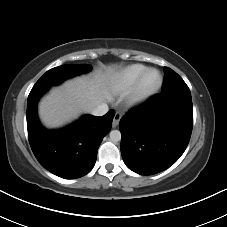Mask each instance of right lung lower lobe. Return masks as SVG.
<instances>
[{"instance_id":"right-lung-lower-lobe-1","label":"right lung lower lobe","mask_w":227,"mask_h":227,"mask_svg":"<svg viewBox=\"0 0 227 227\" xmlns=\"http://www.w3.org/2000/svg\"><path fill=\"white\" fill-rule=\"evenodd\" d=\"M43 93L28 97L27 129L31 149L38 162L51 173L75 179L95 165L98 147L111 129L114 111L102 117L86 115L60 130H47L37 117V102Z\"/></svg>"}]
</instances>
